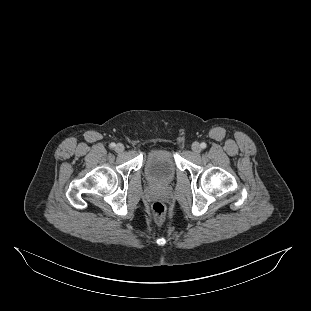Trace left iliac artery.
<instances>
[{"label":"left iliac artery","mask_w":311,"mask_h":311,"mask_svg":"<svg viewBox=\"0 0 311 311\" xmlns=\"http://www.w3.org/2000/svg\"><path fill=\"white\" fill-rule=\"evenodd\" d=\"M200 146H201V148H203V149H204V148H206V146H207V145H206V143H205V142H202V143L200 144Z\"/></svg>","instance_id":"44dca946"}]
</instances>
